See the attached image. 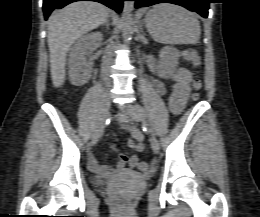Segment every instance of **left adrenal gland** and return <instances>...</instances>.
Returning a JSON list of instances; mask_svg holds the SVG:
<instances>
[{
    "mask_svg": "<svg viewBox=\"0 0 260 217\" xmlns=\"http://www.w3.org/2000/svg\"><path fill=\"white\" fill-rule=\"evenodd\" d=\"M142 27H143V24L140 25V29L143 31V28H142Z\"/></svg>",
    "mask_w": 260,
    "mask_h": 217,
    "instance_id": "1",
    "label": "left adrenal gland"
}]
</instances>
